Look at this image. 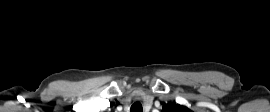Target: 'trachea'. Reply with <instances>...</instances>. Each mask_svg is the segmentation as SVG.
Returning <instances> with one entry per match:
<instances>
[{
  "instance_id": "trachea-1",
  "label": "trachea",
  "mask_w": 270,
  "mask_h": 112,
  "mask_svg": "<svg viewBox=\"0 0 270 112\" xmlns=\"http://www.w3.org/2000/svg\"><path fill=\"white\" fill-rule=\"evenodd\" d=\"M143 108L140 102H135L132 106L130 111L131 112H142Z\"/></svg>"
}]
</instances>
